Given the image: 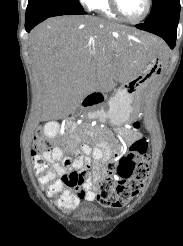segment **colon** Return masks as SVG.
<instances>
[{
    "label": "colon",
    "instance_id": "1",
    "mask_svg": "<svg viewBox=\"0 0 183 246\" xmlns=\"http://www.w3.org/2000/svg\"><path fill=\"white\" fill-rule=\"evenodd\" d=\"M50 149L51 143L46 131L39 129L36 133L32 154L36 172L40 178H46L48 185L55 177L43 154ZM116 151L117 159L106 164L102 176L96 182L97 200L102 206L109 208H122L137 197L143 190L149 175L148 143L145 139L135 141L130 146L129 154L121 155L120 146H117ZM64 164H69V162L65 161ZM61 181L68 185L75 183L77 178H61Z\"/></svg>",
    "mask_w": 183,
    "mask_h": 246
}]
</instances>
